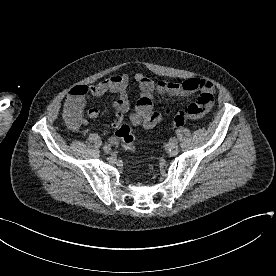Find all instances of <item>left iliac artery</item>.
Here are the masks:
<instances>
[{"mask_svg":"<svg viewBox=\"0 0 276 276\" xmlns=\"http://www.w3.org/2000/svg\"><path fill=\"white\" fill-rule=\"evenodd\" d=\"M178 144V139L177 138H171L170 141H169V145L172 146V145H177Z\"/></svg>","mask_w":276,"mask_h":276,"instance_id":"obj_1","label":"left iliac artery"}]
</instances>
